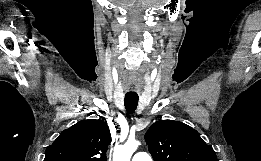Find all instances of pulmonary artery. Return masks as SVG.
I'll return each instance as SVG.
<instances>
[{
  "instance_id": "obj_1",
  "label": "pulmonary artery",
  "mask_w": 261,
  "mask_h": 161,
  "mask_svg": "<svg viewBox=\"0 0 261 161\" xmlns=\"http://www.w3.org/2000/svg\"><path fill=\"white\" fill-rule=\"evenodd\" d=\"M132 161H153V159L148 153L139 151L133 155Z\"/></svg>"
}]
</instances>
